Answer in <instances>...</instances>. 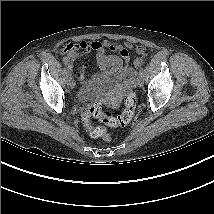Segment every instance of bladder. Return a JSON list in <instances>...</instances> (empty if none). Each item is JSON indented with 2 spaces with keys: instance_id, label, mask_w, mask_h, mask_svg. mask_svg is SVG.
Returning a JSON list of instances; mask_svg holds the SVG:
<instances>
[{
  "instance_id": "31cf9c89",
  "label": "bladder",
  "mask_w": 214,
  "mask_h": 214,
  "mask_svg": "<svg viewBox=\"0 0 214 214\" xmlns=\"http://www.w3.org/2000/svg\"><path fill=\"white\" fill-rule=\"evenodd\" d=\"M120 73L118 71H100L90 81L83 83L78 90V95L107 94L118 91L122 83Z\"/></svg>"
}]
</instances>
